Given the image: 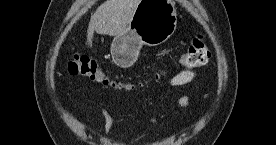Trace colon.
<instances>
[{"instance_id":"colon-1","label":"colon","mask_w":276,"mask_h":145,"mask_svg":"<svg viewBox=\"0 0 276 145\" xmlns=\"http://www.w3.org/2000/svg\"><path fill=\"white\" fill-rule=\"evenodd\" d=\"M210 57V51L202 36L193 39L187 51L182 54L180 63L186 69H195L204 66ZM69 74L86 78L92 82L110 87H121L118 85L93 58L88 56H74L67 63Z\"/></svg>"}]
</instances>
